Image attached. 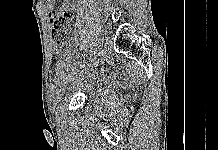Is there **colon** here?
<instances>
[{
    "instance_id": "1",
    "label": "colon",
    "mask_w": 218,
    "mask_h": 150,
    "mask_svg": "<svg viewBox=\"0 0 218 150\" xmlns=\"http://www.w3.org/2000/svg\"><path fill=\"white\" fill-rule=\"evenodd\" d=\"M68 31L65 29H57L52 33L53 44L56 50H60L67 41Z\"/></svg>"
}]
</instances>
